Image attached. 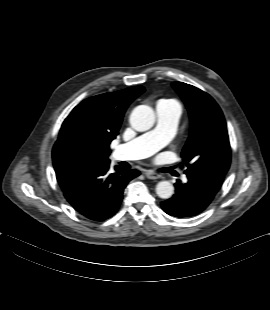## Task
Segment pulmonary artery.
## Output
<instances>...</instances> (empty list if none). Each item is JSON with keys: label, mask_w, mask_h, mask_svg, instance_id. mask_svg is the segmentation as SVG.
<instances>
[{"label": "pulmonary artery", "mask_w": 270, "mask_h": 310, "mask_svg": "<svg viewBox=\"0 0 270 310\" xmlns=\"http://www.w3.org/2000/svg\"><path fill=\"white\" fill-rule=\"evenodd\" d=\"M181 109L178 106L158 103L156 105V127L134 140L117 147L116 153L121 160L147 158L164 147L174 136Z\"/></svg>", "instance_id": "obj_1"}]
</instances>
